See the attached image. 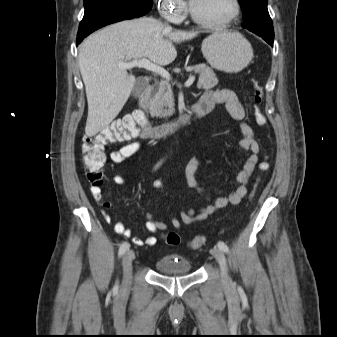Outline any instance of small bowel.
Segmentation results:
<instances>
[{"instance_id": "1", "label": "small bowel", "mask_w": 337, "mask_h": 337, "mask_svg": "<svg viewBox=\"0 0 337 337\" xmlns=\"http://www.w3.org/2000/svg\"><path fill=\"white\" fill-rule=\"evenodd\" d=\"M199 102L204 105H209L211 109L216 103H222L225 104L229 113L234 119L243 120L245 117V108L242 102L230 89L223 88L217 90H208L203 93ZM240 130L242 133V139L239 145L244 151L249 152V155L243 168L236 176V188L229 194H224L223 191L211 185V190L218 194L216 198H211L206 193L205 188L198 183L196 178L197 171L203 165V159L199 156L192 157L185 167V177L187 184L189 187L194 189L199 196L207 201L208 204L198 209L189 208L181 211L180 219L172 216L170 218V223L175 229H180L183 224L189 225L205 220L216 211L228 205H238L246 195L248 182L258 163V153L260 146L254 138L253 130L247 123L242 122L240 125ZM140 149L141 143L139 141H132L112 151L109 154V159L112 163L118 164L137 154ZM113 181L118 185L125 184L124 178L120 175H115L113 177ZM152 186L153 189L158 193L163 191V184L159 180L154 181ZM90 193L102 207V213L105 221L111 222L112 216L107 213L106 210L112 208V204L102 199V190L100 186L92 185L90 187ZM145 226L149 232L165 231L168 228L166 223L156 220L152 214H147ZM114 230L119 235L127 238L131 237L132 242L138 246H154L157 243V238L152 235L144 239L136 236L133 237L132 231L127 228L122 221H117L114 224Z\"/></svg>"}]
</instances>
